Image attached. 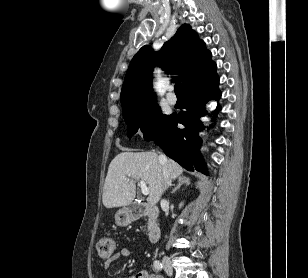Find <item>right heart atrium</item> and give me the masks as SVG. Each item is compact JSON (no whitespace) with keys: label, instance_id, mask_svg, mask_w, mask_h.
Returning a JSON list of instances; mask_svg holds the SVG:
<instances>
[{"label":"right heart atrium","instance_id":"obj_1","mask_svg":"<svg viewBox=\"0 0 308 278\" xmlns=\"http://www.w3.org/2000/svg\"><path fill=\"white\" fill-rule=\"evenodd\" d=\"M153 120H154L153 115H152V114H148V115L145 117V119H144V124H145V125H150V124L153 123Z\"/></svg>","mask_w":308,"mask_h":278}]
</instances>
